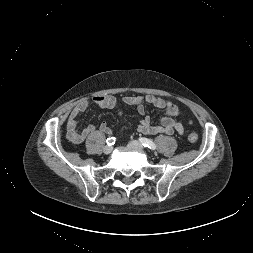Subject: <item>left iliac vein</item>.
Masks as SVG:
<instances>
[{
  "mask_svg": "<svg viewBox=\"0 0 253 253\" xmlns=\"http://www.w3.org/2000/svg\"><path fill=\"white\" fill-rule=\"evenodd\" d=\"M128 145H129L130 148H132L134 150H137V151H143L144 150L143 145L138 141H130Z\"/></svg>",
  "mask_w": 253,
  "mask_h": 253,
  "instance_id": "1",
  "label": "left iliac vein"
}]
</instances>
